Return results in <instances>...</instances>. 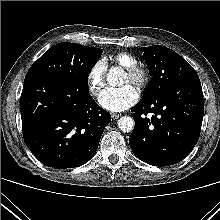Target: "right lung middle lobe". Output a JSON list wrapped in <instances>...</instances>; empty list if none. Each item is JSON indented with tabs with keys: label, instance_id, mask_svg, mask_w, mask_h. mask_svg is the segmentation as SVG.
Wrapping results in <instances>:
<instances>
[{
	"label": "right lung middle lobe",
	"instance_id": "obj_1",
	"mask_svg": "<svg viewBox=\"0 0 220 220\" xmlns=\"http://www.w3.org/2000/svg\"><path fill=\"white\" fill-rule=\"evenodd\" d=\"M102 49L63 42L45 52L28 70L25 81L33 78L83 80L88 76Z\"/></svg>",
	"mask_w": 220,
	"mask_h": 220
}]
</instances>
